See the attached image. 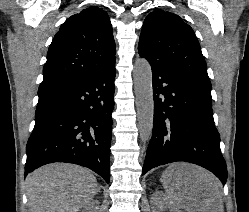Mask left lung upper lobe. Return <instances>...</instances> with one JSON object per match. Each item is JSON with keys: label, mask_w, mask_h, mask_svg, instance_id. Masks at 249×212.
Instances as JSON below:
<instances>
[{"label": "left lung upper lobe", "mask_w": 249, "mask_h": 212, "mask_svg": "<svg viewBox=\"0 0 249 212\" xmlns=\"http://www.w3.org/2000/svg\"><path fill=\"white\" fill-rule=\"evenodd\" d=\"M138 52L185 74L209 81L207 65L192 28L176 14L155 10L144 20Z\"/></svg>", "instance_id": "obj_1"}]
</instances>
